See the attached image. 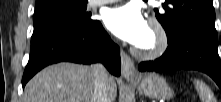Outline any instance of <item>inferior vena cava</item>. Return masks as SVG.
Segmentation results:
<instances>
[{"instance_id": "602c4592", "label": "inferior vena cava", "mask_w": 221, "mask_h": 102, "mask_svg": "<svg viewBox=\"0 0 221 102\" xmlns=\"http://www.w3.org/2000/svg\"><path fill=\"white\" fill-rule=\"evenodd\" d=\"M94 93L92 102H110L109 76L106 68L97 63L93 66Z\"/></svg>"}]
</instances>
